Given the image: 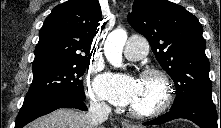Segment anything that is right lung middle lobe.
<instances>
[{"instance_id": "1", "label": "right lung middle lobe", "mask_w": 221, "mask_h": 128, "mask_svg": "<svg viewBox=\"0 0 221 128\" xmlns=\"http://www.w3.org/2000/svg\"><path fill=\"white\" fill-rule=\"evenodd\" d=\"M88 62L89 60H81L34 71L33 81L24 102L56 93H67L85 99L80 77L84 74Z\"/></svg>"}]
</instances>
